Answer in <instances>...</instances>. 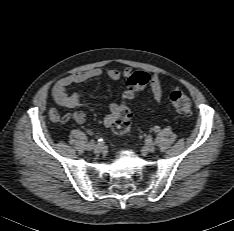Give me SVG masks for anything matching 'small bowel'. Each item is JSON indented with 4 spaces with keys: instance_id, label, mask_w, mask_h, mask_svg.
Masks as SVG:
<instances>
[{
    "instance_id": "c3829d8e",
    "label": "small bowel",
    "mask_w": 234,
    "mask_h": 231,
    "mask_svg": "<svg viewBox=\"0 0 234 231\" xmlns=\"http://www.w3.org/2000/svg\"><path fill=\"white\" fill-rule=\"evenodd\" d=\"M103 74L101 68H91L85 71H80L70 75H66L60 78L52 88V96L54 101L65 108H74L78 106L81 98L83 97V92L81 90L68 92V87L75 83L85 82L94 78H97ZM107 76L118 81L122 77H129L131 75V70L126 68L124 70H119L117 68H111L106 71ZM150 88L155 101L160 102L162 99V83L158 75H153L150 80ZM120 111V105L118 103H111L108 112L104 116V125L107 127H113ZM49 117L52 121H58L60 119V114L55 108L49 110ZM73 121L77 123H83L85 121V115L82 111H76L69 116Z\"/></svg>"
}]
</instances>
